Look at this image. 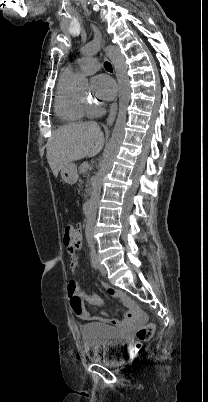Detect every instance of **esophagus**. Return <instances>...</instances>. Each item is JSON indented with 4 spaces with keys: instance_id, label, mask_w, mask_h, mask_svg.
<instances>
[{
    "instance_id": "34e87169",
    "label": "esophagus",
    "mask_w": 208,
    "mask_h": 402,
    "mask_svg": "<svg viewBox=\"0 0 208 402\" xmlns=\"http://www.w3.org/2000/svg\"><path fill=\"white\" fill-rule=\"evenodd\" d=\"M101 46H102V49L105 51L106 50V44H105L104 40H102ZM116 114H117V100H115L112 103V105L110 106V112H109L107 122H106L107 125H112L114 123Z\"/></svg>"
}]
</instances>
